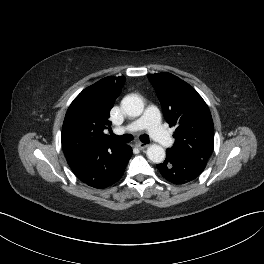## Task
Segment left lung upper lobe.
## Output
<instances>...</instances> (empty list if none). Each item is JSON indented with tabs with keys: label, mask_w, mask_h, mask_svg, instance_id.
<instances>
[{
	"label": "left lung upper lobe",
	"mask_w": 264,
	"mask_h": 264,
	"mask_svg": "<svg viewBox=\"0 0 264 264\" xmlns=\"http://www.w3.org/2000/svg\"><path fill=\"white\" fill-rule=\"evenodd\" d=\"M156 90L175 143L167 150L179 158L207 162L214 147V125L205 101L188 83L170 73L148 76Z\"/></svg>",
	"instance_id": "left-lung-upper-lobe-1"
}]
</instances>
